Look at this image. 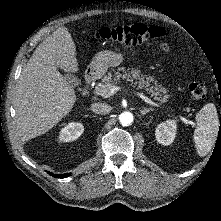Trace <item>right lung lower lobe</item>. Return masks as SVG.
<instances>
[{"label":"right lung lower lobe","instance_id":"obj_1","mask_svg":"<svg viewBox=\"0 0 221 221\" xmlns=\"http://www.w3.org/2000/svg\"><path fill=\"white\" fill-rule=\"evenodd\" d=\"M48 174H50L51 176H53L55 178H65V177H68L69 175H71L70 173H68V174H53L51 172H48Z\"/></svg>","mask_w":221,"mask_h":221}]
</instances>
